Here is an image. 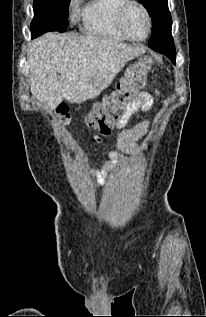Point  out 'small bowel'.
I'll list each match as a JSON object with an SVG mask.
<instances>
[{
  "label": "small bowel",
  "instance_id": "c3829d8e",
  "mask_svg": "<svg viewBox=\"0 0 206 317\" xmlns=\"http://www.w3.org/2000/svg\"><path fill=\"white\" fill-rule=\"evenodd\" d=\"M156 95H158V92H156ZM153 101V95L142 92L128 104L126 112L117 126V128L120 129L117 137V145L123 152L136 154L142 150V147L138 145L137 141L145 135L150 122L148 120H143L132 129H124V127L130 117L139 109L143 111L150 110L153 105ZM109 156L111 162H118V153L111 152ZM106 177L107 173L105 171H98L96 173V179L99 184H103Z\"/></svg>",
  "mask_w": 206,
  "mask_h": 317
}]
</instances>
